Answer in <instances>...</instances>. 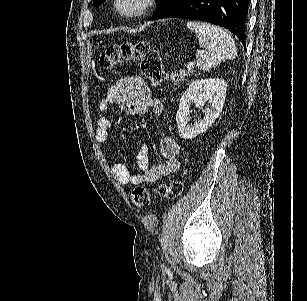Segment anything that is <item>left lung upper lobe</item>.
I'll use <instances>...</instances> for the list:
<instances>
[{
	"mask_svg": "<svg viewBox=\"0 0 307 301\" xmlns=\"http://www.w3.org/2000/svg\"><path fill=\"white\" fill-rule=\"evenodd\" d=\"M105 0H94L93 6H98ZM158 2V6L156 9L155 16L152 18V20H155L158 18L163 12H165L169 7H171L174 3H176L178 0H156Z\"/></svg>",
	"mask_w": 307,
	"mask_h": 301,
	"instance_id": "obj_1",
	"label": "left lung upper lobe"
}]
</instances>
